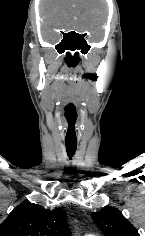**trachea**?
<instances>
[{
	"instance_id": "trachea-1",
	"label": "trachea",
	"mask_w": 145,
	"mask_h": 236,
	"mask_svg": "<svg viewBox=\"0 0 145 236\" xmlns=\"http://www.w3.org/2000/svg\"><path fill=\"white\" fill-rule=\"evenodd\" d=\"M66 150L69 158H71L76 151L77 148V142H65Z\"/></svg>"
}]
</instances>
